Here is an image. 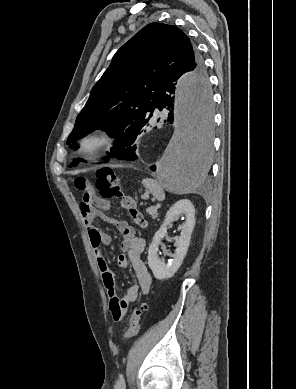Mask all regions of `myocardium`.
<instances>
[{"label":"myocardium","mask_w":296,"mask_h":389,"mask_svg":"<svg viewBox=\"0 0 296 389\" xmlns=\"http://www.w3.org/2000/svg\"><path fill=\"white\" fill-rule=\"evenodd\" d=\"M112 137L105 129H96L85 134L79 144L81 154L89 159H96L111 143Z\"/></svg>","instance_id":"obj_1"}]
</instances>
